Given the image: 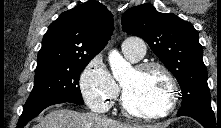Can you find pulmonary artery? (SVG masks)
<instances>
[{
    "mask_svg": "<svg viewBox=\"0 0 221 128\" xmlns=\"http://www.w3.org/2000/svg\"><path fill=\"white\" fill-rule=\"evenodd\" d=\"M122 51L131 60L138 61L145 55L146 43L140 37L130 36L123 41Z\"/></svg>",
    "mask_w": 221,
    "mask_h": 128,
    "instance_id": "pulmonary-artery-1",
    "label": "pulmonary artery"
}]
</instances>
